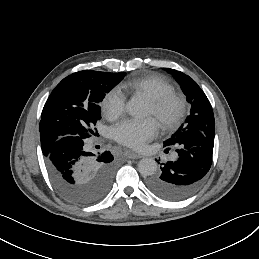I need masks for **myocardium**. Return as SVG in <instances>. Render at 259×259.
I'll use <instances>...</instances> for the list:
<instances>
[{
  "label": "myocardium",
  "mask_w": 259,
  "mask_h": 259,
  "mask_svg": "<svg viewBox=\"0 0 259 259\" xmlns=\"http://www.w3.org/2000/svg\"><path fill=\"white\" fill-rule=\"evenodd\" d=\"M153 116L167 131H175L183 122L186 113V100L179 93H171L158 99H151Z\"/></svg>",
  "instance_id": "myocardium-1"
}]
</instances>
